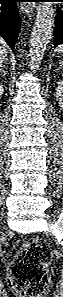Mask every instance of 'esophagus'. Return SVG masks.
<instances>
[{
  "mask_svg": "<svg viewBox=\"0 0 63 297\" xmlns=\"http://www.w3.org/2000/svg\"><path fill=\"white\" fill-rule=\"evenodd\" d=\"M35 8H36L35 4H23L20 7L21 11L27 15H29L30 13H33Z\"/></svg>",
  "mask_w": 63,
  "mask_h": 297,
  "instance_id": "1",
  "label": "esophagus"
}]
</instances>
